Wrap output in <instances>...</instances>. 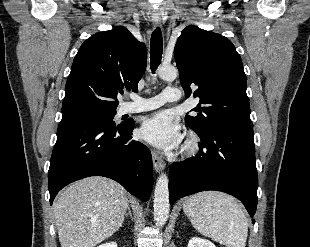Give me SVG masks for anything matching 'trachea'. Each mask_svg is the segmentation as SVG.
Here are the masks:
<instances>
[{
  "label": "trachea",
  "instance_id": "3493384b",
  "mask_svg": "<svg viewBox=\"0 0 310 247\" xmlns=\"http://www.w3.org/2000/svg\"><path fill=\"white\" fill-rule=\"evenodd\" d=\"M163 53V38L160 28H156L151 36L150 43V59H151V70L155 72L159 64L161 63Z\"/></svg>",
  "mask_w": 310,
  "mask_h": 247
}]
</instances>
